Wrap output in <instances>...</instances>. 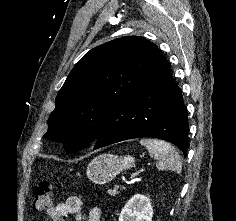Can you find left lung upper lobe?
<instances>
[{"label": "left lung upper lobe", "instance_id": "1", "mask_svg": "<svg viewBox=\"0 0 236 221\" xmlns=\"http://www.w3.org/2000/svg\"><path fill=\"white\" fill-rule=\"evenodd\" d=\"M162 56L154 43L140 36L118 38L91 49L58 92L44 136L62 142L71 153L87 146Z\"/></svg>", "mask_w": 236, "mask_h": 221}]
</instances>
